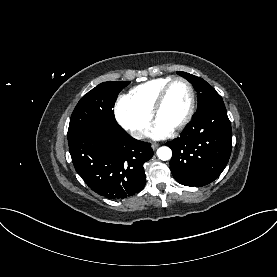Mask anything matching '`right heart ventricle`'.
Returning a JSON list of instances; mask_svg holds the SVG:
<instances>
[{
  "label": "right heart ventricle",
  "mask_w": 277,
  "mask_h": 277,
  "mask_svg": "<svg viewBox=\"0 0 277 277\" xmlns=\"http://www.w3.org/2000/svg\"><path fill=\"white\" fill-rule=\"evenodd\" d=\"M171 79V77H161L137 85L129 90L127 98L140 111L150 115L159 92Z\"/></svg>",
  "instance_id": "1"
}]
</instances>
